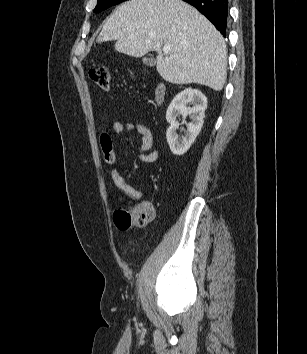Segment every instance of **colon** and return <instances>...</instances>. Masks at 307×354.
I'll list each match as a JSON object with an SVG mask.
<instances>
[{
  "label": "colon",
  "instance_id": "5ec220e1",
  "mask_svg": "<svg viewBox=\"0 0 307 354\" xmlns=\"http://www.w3.org/2000/svg\"><path fill=\"white\" fill-rule=\"evenodd\" d=\"M91 80L103 90H109L111 85L110 70L106 66L92 68L89 71ZM152 217V207L148 202L129 205L116 210L114 219L117 227L127 230L132 227H141Z\"/></svg>",
  "mask_w": 307,
  "mask_h": 354
}]
</instances>
